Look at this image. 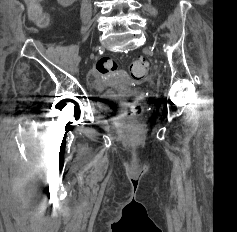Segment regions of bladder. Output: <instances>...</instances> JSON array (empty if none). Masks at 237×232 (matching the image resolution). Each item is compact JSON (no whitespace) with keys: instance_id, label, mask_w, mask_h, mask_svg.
Segmentation results:
<instances>
[{"instance_id":"31cf9c89","label":"bladder","mask_w":237,"mask_h":232,"mask_svg":"<svg viewBox=\"0 0 237 232\" xmlns=\"http://www.w3.org/2000/svg\"><path fill=\"white\" fill-rule=\"evenodd\" d=\"M102 107H103L104 110H111L112 109V99H108V100L103 101Z\"/></svg>"}]
</instances>
